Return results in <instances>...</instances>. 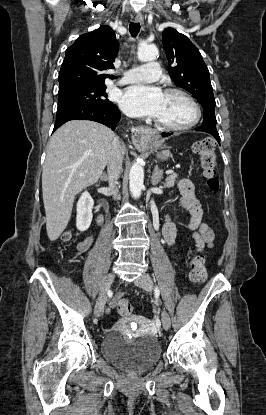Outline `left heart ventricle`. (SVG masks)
<instances>
[{
  "label": "left heart ventricle",
  "mask_w": 266,
  "mask_h": 415,
  "mask_svg": "<svg viewBox=\"0 0 266 415\" xmlns=\"http://www.w3.org/2000/svg\"><path fill=\"white\" fill-rule=\"evenodd\" d=\"M192 107L178 95H164L162 109L156 119L167 125H183L192 120Z\"/></svg>",
  "instance_id": "b2bd125f"
}]
</instances>
